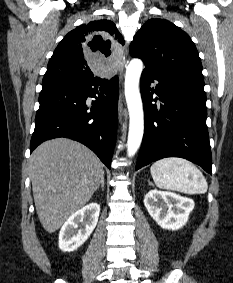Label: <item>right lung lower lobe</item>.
I'll return each instance as SVG.
<instances>
[{"label": "right lung lower lobe", "mask_w": 233, "mask_h": 283, "mask_svg": "<svg viewBox=\"0 0 233 283\" xmlns=\"http://www.w3.org/2000/svg\"><path fill=\"white\" fill-rule=\"evenodd\" d=\"M89 96L96 98L91 107L86 104ZM39 103L31 152L46 140L67 137L89 147L111 168L117 133V76L110 80L95 77L42 83ZM89 108L91 111H87Z\"/></svg>", "instance_id": "98d812e1"}]
</instances>
